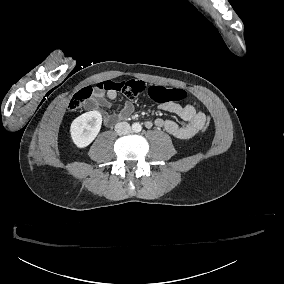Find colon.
<instances>
[{
	"label": "colon",
	"instance_id": "1",
	"mask_svg": "<svg viewBox=\"0 0 284 284\" xmlns=\"http://www.w3.org/2000/svg\"><path fill=\"white\" fill-rule=\"evenodd\" d=\"M147 83L143 80H129V81H115V80H103L96 83V88L102 91H119L128 96L138 95L144 91ZM93 92L92 86L84 87L74 93L70 100V107L72 110H78L84 103L88 94ZM149 93L151 97L160 103L167 101H181L185 99L187 92L185 88L178 86L174 89H166L165 87L155 84L151 86ZM211 117H206L205 127L202 129V134L206 135L211 127Z\"/></svg>",
	"mask_w": 284,
	"mask_h": 284
}]
</instances>
